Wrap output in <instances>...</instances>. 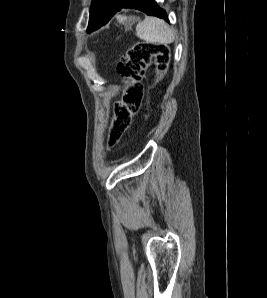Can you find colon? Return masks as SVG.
<instances>
[{
  "label": "colon",
  "instance_id": "obj_1",
  "mask_svg": "<svg viewBox=\"0 0 267 298\" xmlns=\"http://www.w3.org/2000/svg\"><path fill=\"white\" fill-rule=\"evenodd\" d=\"M170 62V51L161 43L138 42L121 58L118 71L124 78L126 90L123 101L114 112L111 128L107 136V146H115L121 134L130 125L133 115L140 107L143 95L141 80L148 65H154L153 86L166 74ZM147 118V115L145 116Z\"/></svg>",
  "mask_w": 267,
  "mask_h": 298
}]
</instances>
